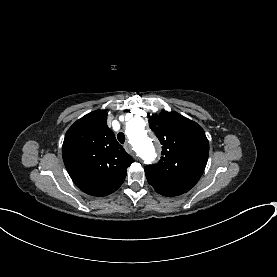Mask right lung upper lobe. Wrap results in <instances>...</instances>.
<instances>
[{"label":"right lung upper lobe","instance_id":"cb5924a9","mask_svg":"<svg viewBox=\"0 0 277 277\" xmlns=\"http://www.w3.org/2000/svg\"><path fill=\"white\" fill-rule=\"evenodd\" d=\"M106 121L105 110L85 115L69 128L62 146L64 164L72 181L92 196L116 191L133 162Z\"/></svg>","mask_w":277,"mask_h":277}]
</instances>
